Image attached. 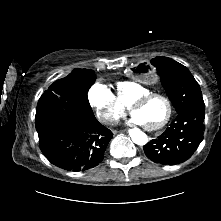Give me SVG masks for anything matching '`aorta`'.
I'll use <instances>...</instances> for the list:
<instances>
[{"label":"aorta","mask_w":221,"mask_h":221,"mask_svg":"<svg viewBox=\"0 0 221 221\" xmlns=\"http://www.w3.org/2000/svg\"><path fill=\"white\" fill-rule=\"evenodd\" d=\"M129 135H130L132 141L137 145L143 146L148 142L147 135L138 128L130 129Z\"/></svg>","instance_id":"1"}]
</instances>
